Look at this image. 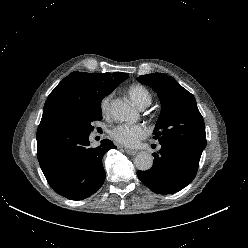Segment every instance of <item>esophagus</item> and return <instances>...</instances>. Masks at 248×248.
Returning a JSON list of instances; mask_svg holds the SVG:
<instances>
[{
    "instance_id": "34e87169",
    "label": "esophagus",
    "mask_w": 248,
    "mask_h": 248,
    "mask_svg": "<svg viewBox=\"0 0 248 248\" xmlns=\"http://www.w3.org/2000/svg\"><path fill=\"white\" fill-rule=\"evenodd\" d=\"M124 150L129 155H135L137 153L136 150H132V149H129V148H125Z\"/></svg>"
}]
</instances>
